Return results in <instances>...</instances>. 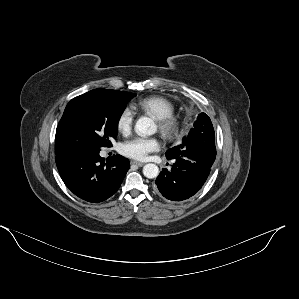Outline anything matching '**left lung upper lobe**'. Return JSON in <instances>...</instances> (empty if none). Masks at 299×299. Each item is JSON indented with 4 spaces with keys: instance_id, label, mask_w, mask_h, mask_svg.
Returning a JSON list of instances; mask_svg holds the SVG:
<instances>
[{
    "instance_id": "1",
    "label": "left lung upper lobe",
    "mask_w": 299,
    "mask_h": 299,
    "mask_svg": "<svg viewBox=\"0 0 299 299\" xmlns=\"http://www.w3.org/2000/svg\"><path fill=\"white\" fill-rule=\"evenodd\" d=\"M201 153L208 158L211 164L215 161V133L210 118L205 113H200L193 128L181 144L169 149L165 155L172 159L175 155H193Z\"/></svg>"
}]
</instances>
